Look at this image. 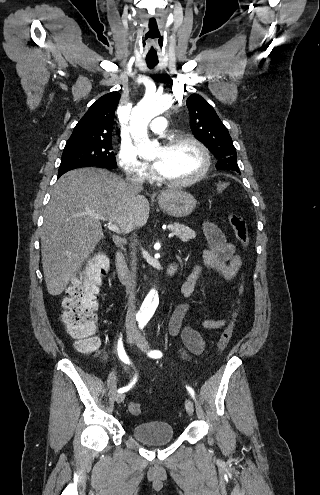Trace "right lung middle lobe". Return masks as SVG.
Here are the masks:
<instances>
[{
    "label": "right lung middle lobe",
    "instance_id": "right-lung-middle-lobe-1",
    "mask_svg": "<svg viewBox=\"0 0 320 495\" xmlns=\"http://www.w3.org/2000/svg\"><path fill=\"white\" fill-rule=\"evenodd\" d=\"M111 142H67L62 154L58 175L88 166L116 168Z\"/></svg>",
    "mask_w": 320,
    "mask_h": 495
}]
</instances>
